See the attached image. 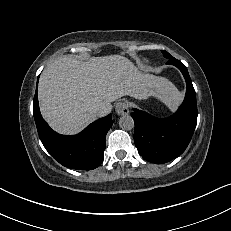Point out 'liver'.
Segmentation results:
<instances>
[{
    "label": "liver",
    "mask_w": 231,
    "mask_h": 231,
    "mask_svg": "<svg viewBox=\"0 0 231 231\" xmlns=\"http://www.w3.org/2000/svg\"><path fill=\"white\" fill-rule=\"evenodd\" d=\"M123 96L140 100L153 96L170 104L178 92L169 80L139 72L120 55L92 57L85 62L64 55L47 66L38 86L44 119L66 135L79 133L97 119L98 108L111 111V102Z\"/></svg>",
    "instance_id": "obj_1"
}]
</instances>
